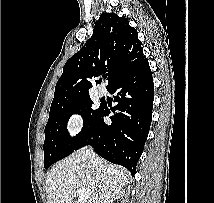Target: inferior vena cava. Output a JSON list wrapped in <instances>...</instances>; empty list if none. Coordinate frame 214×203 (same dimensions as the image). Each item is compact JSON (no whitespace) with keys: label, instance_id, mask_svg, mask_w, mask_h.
Listing matches in <instances>:
<instances>
[{"label":"inferior vena cava","instance_id":"602c4592","mask_svg":"<svg viewBox=\"0 0 214 203\" xmlns=\"http://www.w3.org/2000/svg\"><path fill=\"white\" fill-rule=\"evenodd\" d=\"M86 154L90 160V162L92 163V165L95 167V168H98V166H100L101 164V161L100 159L96 156V154L94 153L92 147H89L87 150H86Z\"/></svg>","mask_w":214,"mask_h":203}]
</instances>
